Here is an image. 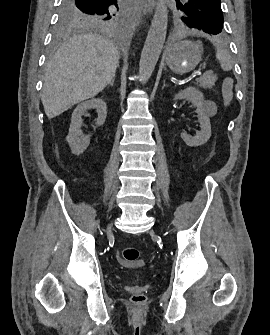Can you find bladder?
<instances>
[{
	"label": "bladder",
	"instance_id": "obj_1",
	"mask_svg": "<svg viewBox=\"0 0 270 335\" xmlns=\"http://www.w3.org/2000/svg\"><path fill=\"white\" fill-rule=\"evenodd\" d=\"M143 270H138L135 272H130V275L133 277H139L142 274Z\"/></svg>",
	"mask_w": 270,
	"mask_h": 335
}]
</instances>
